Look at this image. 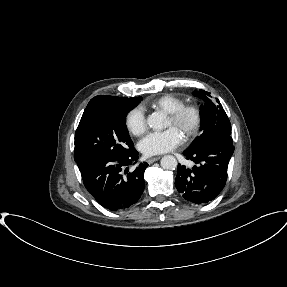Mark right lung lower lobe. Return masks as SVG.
Instances as JSON below:
<instances>
[{
  "label": "right lung lower lobe",
  "instance_id": "right-lung-lower-lobe-1",
  "mask_svg": "<svg viewBox=\"0 0 287 287\" xmlns=\"http://www.w3.org/2000/svg\"><path fill=\"white\" fill-rule=\"evenodd\" d=\"M138 152L134 149L125 156L103 157L90 162L81 171L86 189L95 200L107 210L116 212L134 205L144 191V171L147 163H140L136 169L128 168L136 163Z\"/></svg>",
  "mask_w": 287,
  "mask_h": 287
}]
</instances>
